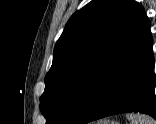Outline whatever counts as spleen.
<instances>
[{
	"label": "spleen",
	"instance_id": "spleen-1",
	"mask_svg": "<svg viewBox=\"0 0 156 124\" xmlns=\"http://www.w3.org/2000/svg\"><path fill=\"white\" fill-rule=\"evenodd\" d=\"M127 118L131 121V124H156L155 120L144 114H128Z\"/></svg>",
	"mask_w": 156,
	"mask_h": 124
}]
</instances>
